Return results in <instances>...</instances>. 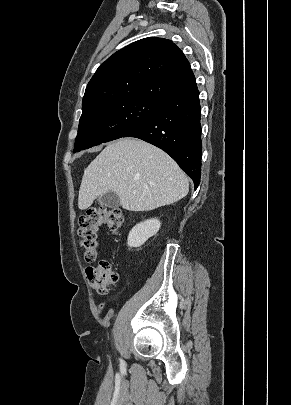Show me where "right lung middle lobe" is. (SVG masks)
Wrapping results in <instances>:
<instances>
[{"label": "right lung middle lobe", "mask_w": 291, "mask_h": 405, "mask_svg": "<svg viewBox=\"0 0 291 405\" xmlns=\"http://www.w3.org/2000/svg\"><path fill=\"white\" fill-rule=\"evenodd\" d=\"M162 103L146 98H125L83 108L73 152L124 137L145 123Z\"/></svg>", "instance_id": "obj_1"}]
</instances>
